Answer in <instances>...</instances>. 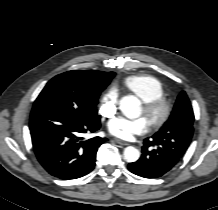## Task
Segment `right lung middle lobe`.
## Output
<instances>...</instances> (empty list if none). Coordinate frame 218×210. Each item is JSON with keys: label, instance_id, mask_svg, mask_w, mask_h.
I'll list each match as a JSON object with an SVG mask.
<instances>
[{"label": "right lung middle lobe", "instance_id": "obj_1", "mask_svg": "<svg viewBox=\"0 0 218 210\" xmlns=\"http://www.w3.org/2000/svg\"><path fill=\"white\" fill-rule=\"evenodd\" d=\"M106 86H86L62 73L52 78L34 102L33 110L57 109L87 120L98 119L96 105Z\"/></svg>", "mask_w": 218, "mask_h": 210}]
</instances>
